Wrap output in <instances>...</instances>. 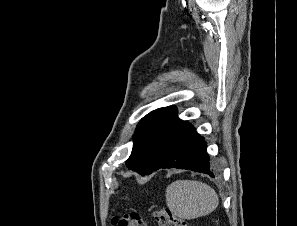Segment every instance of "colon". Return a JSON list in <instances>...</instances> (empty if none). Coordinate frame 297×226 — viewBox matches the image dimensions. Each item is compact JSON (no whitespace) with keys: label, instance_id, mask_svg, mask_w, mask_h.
Masks as SVG:
<instances>
[{"label":"colon","instance_id":"obj_1","mask_svg":"<svg viewBox=\"0 0 297 226\" xmlns=\"http://www.w3.org/2000/svg\"><path fill=\"white\" fill-rule=\"evenodd\" d=\"M158 226H187L185 220L175 216L169 209L162 208L153 213ZM113 226H147L146 218L135 212H124L112 218Z\"/></svg>","mask_w":297,"mask_h":226}]
</instances>
